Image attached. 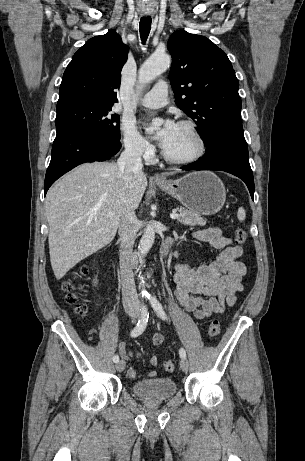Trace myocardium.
I'll use <instances>...</instances> for the list:
<instances>
[{
  "label": "myocardium",
  "mask_w": 305,
  "mask_h": 461,
  "mask_svg": "<svg viewBox=\"0 0 305 461\" xmlns=\"http://www.w3.org/2000/svg\"><path fill=\"white\" fill-rule=\"evenodd\" d=\"M177 125L182 126V127L186 128V129H188L190 131V133L192 134V136L196 140L197 149L192 155H190L188 157H184V158L172 157V156L168 155L164 150L162 151V156H163L164 160L166 162L170 163V164H175V165L192 164V163L198 161L199 159H201L202 156L204 155V153L206 151L205 140H204L202 134L200 133V131L198 130L196 124L193 123L192 121L181 120V121H179L177 123Z\"/></svg>",
  "instance_id": "1"
}]
</instances>
